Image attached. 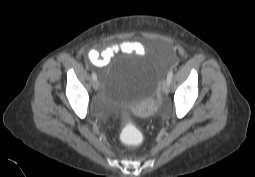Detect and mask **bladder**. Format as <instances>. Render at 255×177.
I'll return each instance as SVG.
<instances>
[{
	"instance_id": "1",
	"label": "bladder",
	"mask_w": 255,
	"mask_h": 177,
	"mask_svg": "<svg viewBox=\"0 0 255 177\" xmlns=\"http://www.w3.org/2000/svg\"><path fill=\"white\" fill-rule=\"evenodd\" d=\"M159 63L152 58L126 59L106 76L103 95L115 106L142 109L157 99Z\"/></svg>"
}]
</instances>
